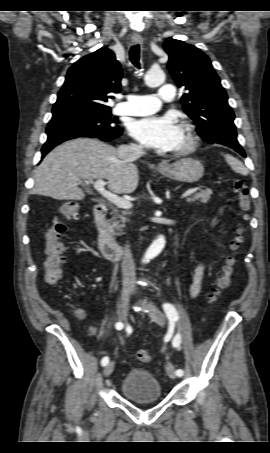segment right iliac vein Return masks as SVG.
<instances>
[{
  "label": "right iliac vein",
  "mask_w": 270,
  "mask_h": 453,
  "mask_svg": "<svg viewBox=\"0 0 270 453\" xmlns=\"http://www.w3.org/2000/svg\"><path fill=\"white\" fill-rule=\"evenodd\" d=\"M131 293H132V288L130 287V285L125 284L123 287V290H122L121 301H120V305H119V317L125 323H127L129 296ZM113 370H114V362H111L104 368L103 375L105 377H108L113 372Z\"/></svg>",
  "instance_id": "1"
}]
</instances>
